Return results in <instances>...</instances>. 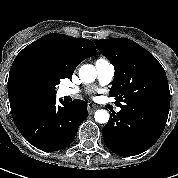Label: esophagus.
I'll use <instances>...</instances> for the list:
<instances>
[{
  "label": "esophagus",
  "mask_w": 178,
  "mask_h": 178,
  "mask_svg": "<svg viewBox=\"0 0 178 178\" xmlns=\"http://www.w3.org/2000/svg\"><path fill=\"white\" fill-rule=\"evenodd\" d=\"M97 109V107L95 105H93L92 103H88V112L89 114H93V112Z\"/></svg>",
  "instance_id": "obj_1"
}]
</instances>
